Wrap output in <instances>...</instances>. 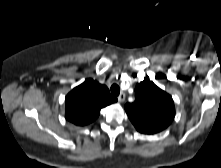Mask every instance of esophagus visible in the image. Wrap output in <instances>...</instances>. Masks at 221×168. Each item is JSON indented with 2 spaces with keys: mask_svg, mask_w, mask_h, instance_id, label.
I'll return each mask as SVG.
<instances>
[{
  "mask_svg": "<svg viewBox=\"0 0 221 168\" xmlns=\"http://www.w3.org/2000/svg\"><path fill=\"white\" fill-rule=\"evenodd\" d=\"M125 98H126V95L125 93H121L119 96H118V101L119 102H124L125 101Z\"/></svg>",
  "mask_w": 221,
  "mask_h": 168,
  "instance_id": "esophagus-1",
  "label": "esophagus"
}]
</instances>
